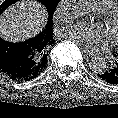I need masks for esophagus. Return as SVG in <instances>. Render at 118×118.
Instances as JSON below:
<instances>
[{"label": "esophagus", "mask_w": 118, "mask_h": 118, "mask_svg": "<svg viewBox=\"0 0 118 118\" xmlns=\"http://www.w3.org/2000/svg\"><path fill=\"white\" fill-rule=\"evenodd\" d=\"M83 53L86 55V56H89V57H93L94 54L91 52V51H88V50H85L83 49Z\"/></svg>", "instance_id": "34e87169"}]
</instances>
